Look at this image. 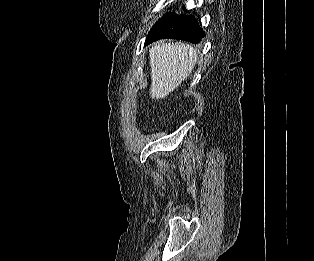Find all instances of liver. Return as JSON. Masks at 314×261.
I'll return each instance as SVG.
<instances>
[{
  "label": "liver",
  "mask_w": 314,
  "mask_h": 261,
  "mask_svg": "<svg viewBox=\"0 0 314 261\" xmlns=\"http://www.w3.org/2000/svg\"><path fill=\"white\" fill-rule=\"evenodd\" d=\"M152 99H164L189 77L197 63L190 44L158 42L149 50Z\"/></svg>",
  "instance_id": "1"
}]
</instances>
